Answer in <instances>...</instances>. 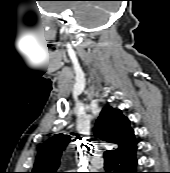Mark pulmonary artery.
Listing matches in <instances>:
<instances>
[{"label":"pulmonary artery","instance_id":"pulmonary-artery-1","mask_svg":"<svg viewBox=\"0 0 170 173\" xmlns=\"http://www.w3.org/2000/svg\"><path fill=\"white\" fill-rule=\"evenodd\" d=\"M91 163L96 168H101L104 164L103 160L101 158H98V157L92 158Z\"/></svg>","mask_w":170,"mask_h":173}]
</instances>
